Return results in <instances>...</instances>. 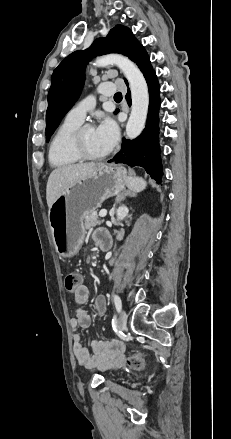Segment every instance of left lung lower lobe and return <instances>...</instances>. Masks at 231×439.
<instances>
[{
    "label": "left lung lower lobe",
    "instance_id": "left-lung-lower-lobe-1",
    "mask_svg": "<svg viewBox=\"0 0 231 439\" xmlns=\"http://www.w3.org/2000/svg\"><path fill=\"white\" fill-rule=\"evenodd\" d=\"M135 63L143 73L149 89V110L144 131L133 140L123 139L121 150L108 162L124 163L130 167H143L151 178L161 183L162 164L158 138V110L160 107V87L150 59L144 50L137 57ZM126 84L128 82L125 80ZM128 104H131L130 90L126 94ZM118 111H116L117 113Z\"/></svg>",
    "mask_w": 231,
    "mask_h": 439
}]
</instances>
